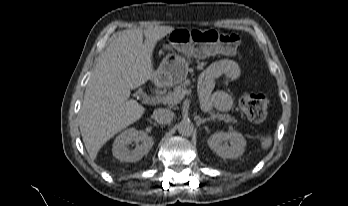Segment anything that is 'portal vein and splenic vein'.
Listing matches in <instances>:
<instances>
[{"instance_id":"1","label":"portal vein and splenic vein","mask_w":348,"mask_h":206,"mask_svg":"<svg viewBox=\"0 0 348 206\" xmlns=\"http://www.w3.org/2000/svg\"><path fill=\"white\" fill-rule=\"evenodd\" d=\"M191 90H183L181 92H170L166 96L159 97V101L167 104L180 103L185 95H191Z\"/></svg>"}]
</instances>
